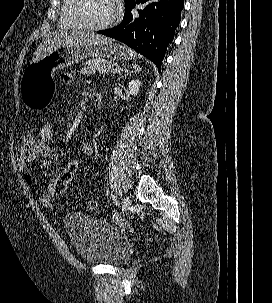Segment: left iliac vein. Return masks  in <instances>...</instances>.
<instances>
[{
	"label": "left iliac vein",
	"instance_id": "obj_1",
	"mask_svg": "<svg viewBox=\"0 0 272 303\" xmlns=\"http://www.w3.org/2000/svg\"><path fill=\"white\" fill-rule=\"evenodd\" d=\"M130 206H131L130 198L127 197V196L123 197V199H122V209L124 211H127L130 208Z\"/></svg>",
	"mask_w": 272,
	"mask_h": 303
}]
</instances>
